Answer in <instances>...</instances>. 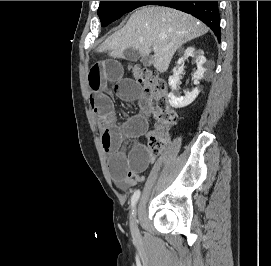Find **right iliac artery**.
<instances>
[{
  "mask_svg": "<svg viewBox=\"0 0 271 266\" xmlns=\"http://www.w3.org/2000/svg\"><path fill=\"white\" fill-rule=\"evenodd\" d=\"M140 197V190H136L131 198V206L134 207Z\"/></svg>",
  "mask_w": 271,
  "mask_h": 266,
  "instance_id": "1",
  "label": "right iliac artery"
}]
</instances>
